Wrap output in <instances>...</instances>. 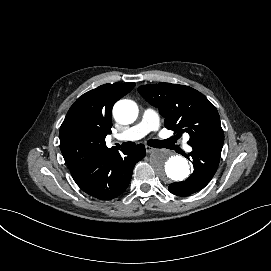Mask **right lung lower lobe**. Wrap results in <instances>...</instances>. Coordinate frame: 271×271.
Returning <instances> with one entry per match:
<instances>
[{
  "label": "right lung lower lobe",
  "instance_id": "1",
  "mask_svg": "<svg viewBox=\"0 0 271 271\" xmlns=\"http://www.w3.org/2000/svg\"><path fill=\"white\" fill-rule=\"evenodd\" d=\"M121 151L113 147L93 158L85 168L72 175L76 184L100 200L121 195L130 183L135 164L146 154L143 144Z\"/></svg>",
  "mask_w": 271,
  "mask_h": 271
}]
</instances>
